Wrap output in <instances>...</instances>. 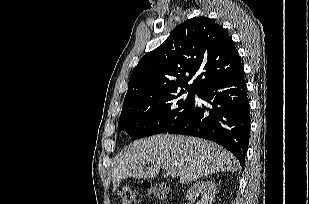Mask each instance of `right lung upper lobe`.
Masks as SVG:
<instances>
[{"mask_svg": "<svg viewBox=\"0 0 309 204\" xmlns=\"http://www.w3.org/2000/svg\"><path fill=\"white\" fill-rule=\"evenodd\" d=\"M240 66L239 53L226 30L210 18L194 17L177 26L166 41L140 60L130 76L124 102L183 88L198 94Z\"/></svg>", "mask_w": 309, "mask_h": 204, "instance_id": "obj_1", "label": "right lung upper lobe"}]
</instances>
